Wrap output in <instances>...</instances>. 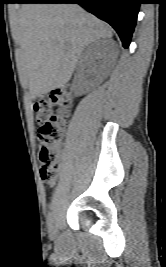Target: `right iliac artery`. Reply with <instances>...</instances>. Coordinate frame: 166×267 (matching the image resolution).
Returning <instances> with one entry per match:
<instances>
[{
	"mask_svg": "<svg viewBox=\"0 0 166 267\" xmlns=\"http://www.w3.org/2000/svg\"><path fill=\"white\" fill-rule=\"evenodd\" d=\"M53 212H49L47 215V225L50 227L53 223Z\"/></svg>",
	"mask_w": 166,
	"mask_h": 267,
	"instance_id": "right-iliac-artery-1",
	"label": "right iliac artery"
}]
</instances>
